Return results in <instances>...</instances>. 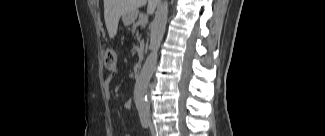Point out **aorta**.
I'll list each match as a JSON object with an SVG mask.
<instances>
[{"instance_id":"1","label":"aorta","mask_w":325,"mask_h":136,"mask_svg":"<svg viewBox=\"0 0 325 136\" xmlns=\"http://www.w3.org/2000/svg\"><path fill=\"white\" fill-rule=\"evenodd\" d=\"M168 19V1L164 0L157 8L151 30V52L148 55L134 87V101L141 113L149 111L147 89L156 68L158 50L163 40Z\"/></svg>"}]
</instances>
